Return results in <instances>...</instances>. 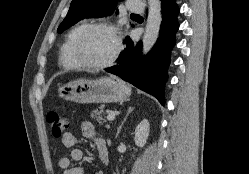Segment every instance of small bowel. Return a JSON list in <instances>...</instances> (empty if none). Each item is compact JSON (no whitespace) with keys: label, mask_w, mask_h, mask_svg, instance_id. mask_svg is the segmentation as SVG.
<instances>
[{"label":"small bowel","mask_w":249,"mask_h":174,"mask_svg":"<svg viewBox=\"0 0 249 174\" xmlns=\"http://www.w3.org/2000/svg\"><path fill=\"white\" fill-rule=\"evenodd\" d=\"M82 135L86 138L93 139L98 152V158L103 165L109 163V153L104 140L99 137L95 131L93 124L89 121H85L81 124ZM62 144L67 148H72L69 156H61L59 158V167L63 169V174H85V170L82 167H71L72 161H80L84 157V152L81 148L75 147L78 144L77 137L68 132L62 136Z\"/></svg>","instance_id":"small-bowel-1"}]
</instances>
